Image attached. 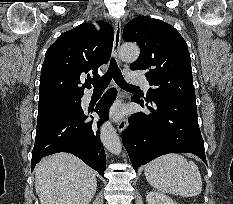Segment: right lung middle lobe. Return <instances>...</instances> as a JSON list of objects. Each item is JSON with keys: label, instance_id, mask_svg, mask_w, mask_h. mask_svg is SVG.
<instances>
[{"label": "right lung middle lobe", "instance_id": "right-lung-middle-lobe-1", "mask_svg": "<svg viewBox=\"0 0 233 204\" xmlns=\"http://www.w3.org/2000/svg\"><path fill=\"white\" fill-rule=\"evenodd\" d=\"M81 107V97H62L39 102L37 129L44 127L56 119L72 114Z\"/></svg>", "mask_w": 233, "mask_h": 204}]
</instances>
